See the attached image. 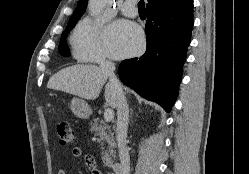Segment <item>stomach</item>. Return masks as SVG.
<instances>
[{
  "mask_svg": "<svg viewBox=\"0 0 249 174\" xmlns=\"http://www.w3.org/2000/svg\"><path fill=\"white\" fill-rule=\"evenodd\" d=\"M73 113L81 119H86L91 114L90 106L82 99L73 98L70 104Z\"/></svg>",
  "mask_w": 249,
  "mask_h": 174,
  "instance_id": "1",
  "label": "stomach"
}]
</instances>
